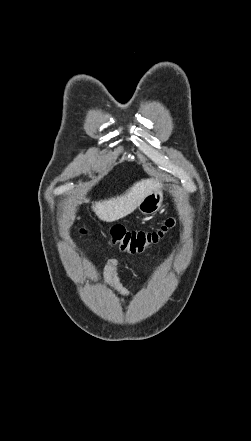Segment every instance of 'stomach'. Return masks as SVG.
<instances>
[{
  "mask_svg": "<svg viewBox=\"0 0 251 441\" xmlns=\"http://www.w3.org/2000/svg\"><path fill=\"white\" fill-rule=\"evenodd\" d=\"M163 202V189L157 188L148 194L138 205L139 211L144 215H151L156 213Z\"/></svg>",
  "mask_w": 251,
  "mask_h": 441,
  "instance_id": "obj_1",
  "label": "stomach"
}]
</instances>
